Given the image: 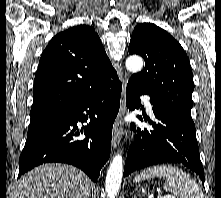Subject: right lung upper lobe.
<instances>
[{"instance_id": "cb5924a9", "label": "right lung upper lobe", "mask_w": 221, "mask_h": 198, "mask_svg": "<svg viewBox=\"0 0 221 198\" xmlns=\"http://www.w3.org/2000/svg\"><path fill=\"white\" fill-rule=\"evenodd\" d=\"M116 80L117 72L92 27L60 32L39 61L30 123L72 108Z\"/></svg>"}]
</instances>
